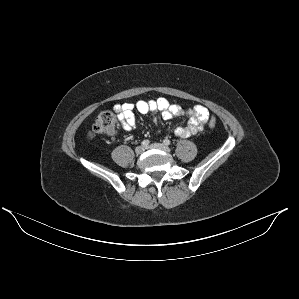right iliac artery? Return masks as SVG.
<instances>
[{
	"label": "right iliac artery",
	"instance_id": "obj_1",
	"mask_svg": "<svg viewBox=\"0 0 299 299\" xmlns=\"http://www.w3.org/2000/svg\"><path fill=\"white\" fill-rule=\"evenodd\" d=\"M149 143H150L149 140L146 139V140H143L141 144H142L143 146H148Z\"/></svg>",
	"mask_w": 299,
	"mask_h": 299
}]
</instances>
